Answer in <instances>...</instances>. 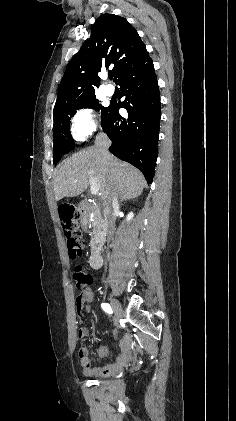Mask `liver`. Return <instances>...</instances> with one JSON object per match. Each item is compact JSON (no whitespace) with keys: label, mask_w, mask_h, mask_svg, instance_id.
Wrapping results in <instances>:
<instances>
[{"label":"liver","mask_w":236,"mask_h":421,"mask_svg":"<svg viewBox=\"0 0 236 421\" xmlns=\"http://www.w3.org/2000/svg\"><path fill=\"white\" fill-rule=\"evenodd\" d=\"M108 162L104 164L101 152L95 146L74 152L62 160L53 172L55 200L77 196L87 188L89 178H95L99 184L101 200H108L107 196H111L107 194L108 190L125 200L139 196L146 186L142 172L129 162H120L115 156H110Z\"/></svg>","instance_id":"6515ba94"}]
</instances>
